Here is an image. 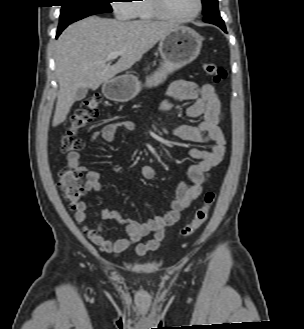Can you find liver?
I'll use <instances>...</instances> for the list:
<instances>
[{"label":"liver","instance_id":"obj_1","mask_svg":"<svg viewBox=\"0 0 304 329\" xmlns=\"http://www.w3.org/2000/svg\"><path fill=\"white\" fill-rule=\"evenodd\" d=\"M175 27L169 22L118 21L97 16L68 26L55 48L59 92L53 127L66 120L79 88L96 90L131 68ZM113 52H121V58L109 65L106 58Z\"/></svg>","mask_w":304,"mask_h":329}]
</instances>
